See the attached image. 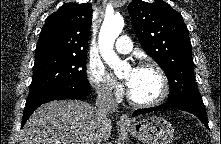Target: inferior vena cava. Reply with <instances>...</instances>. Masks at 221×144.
I'll return each mask as SVG.
<instances>
[{
  "label": "inferior vena cava",
  "instance_id": "1",
  "mask_svg": "<svg viewBox=\"0 0 221 144\" xmlns=\"http://www.w3.org/2000/svg\"><path fill=\"white\" fill-rule=\"evenodd\" d=\"M95 109L97 119L101 123H105L109 119V115L117 111L118 104L109 88L104 87L98 90Z\"/></svg>",
  "mask_w": 221,
  "mask_h": 144
}]
</instances>
